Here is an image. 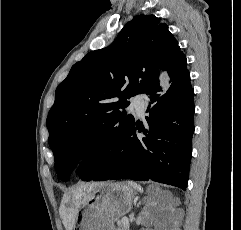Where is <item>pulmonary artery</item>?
<instances>
[{
    "instance_id": "e3ab8cb5",
    "label": "pulmonary artery",
    "mask_w": 241,
    "mask_h": 230,
    "mask_svg": "<svg viewBox=\"0 0 241 230\" xmlns=\"http://www.w3.org/2000/svg\"><path fill=\"white\" fill-rule=\"evenodd\" d=\"M131 107L135 108L136 111L142 115L145 110V95L139 94L132 98Z\"/></svg>"
}]
</instances>
